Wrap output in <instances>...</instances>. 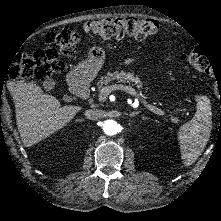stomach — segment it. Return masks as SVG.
I'll list each match as a JSON object with an SVG mask.
<instances>
[{
  "label": "stomach",
  "instance_id": "1",
  "mask_svg": "<svg viewBox=\"0 0 221 221\" xmlns=\"http://www.w3.org/2000/svg\"><path fill=\"white\" fill-rule=\"evenodd\" d=\"M89 56L87 62H82L74 68L73 77L75 80L84 81L89 76L92 79L97 74L104 57V52L100 48L93 47L89 51Z\"/></svg>",
  "mask_w": 221,
  "mask_h": 221
}]
</instances>
